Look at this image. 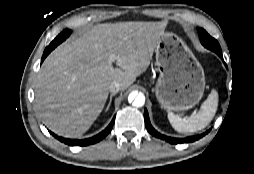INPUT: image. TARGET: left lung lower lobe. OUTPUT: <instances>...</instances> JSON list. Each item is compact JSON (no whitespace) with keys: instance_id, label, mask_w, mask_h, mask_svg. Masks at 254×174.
Listing matches in <instances>:
<instances>
[{"instance_id":"left-lung-lower-lobe-1","label":"left lung lower lobe","mask_w":254,"mask_h":174,"mask_svg":"<svg viewBox=\"0 0 254 174\" xmlns=\"http://www.w3.org/2000/svg\"><path fill=\"white\" fill-rule=\"evenodd\" d=\"M217 55L223 60L222 52L217 53ZM144 119H145V126L150 134H152L153 136L158 137L160 139H164L171 144H181V143H185V142H193V141H196V140L200 139L201 137L205 136L209 132V130H208L207 132H205L203 134H200L197 136H190L187 138H171V137L160 134L152 127L150 120H149L148 112L146 109L144 111Z\"/></svg>"}]
</instances>
